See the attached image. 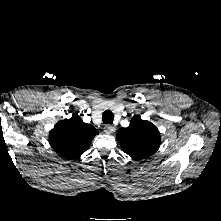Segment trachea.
Here are the masks:
<instances>
[{
	"label": "trachea",
	"instance_id": "3493384b",
	"mask_svg": "<svg viewBox=\"0 0 221 221\" xmlns=\"http://www.w3.org/2000/svg\"><path fill=\"white\" fill-rule=\"evenodd\" d=\"M102 120L104 123L112 124L114 120V114L110 110H106L102 115Z\"/></svg>",
	"mask_w": 221,
	"mask_h": 221
}]
</instances>
